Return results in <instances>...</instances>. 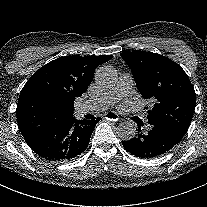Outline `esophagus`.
<instances>
[{
    "label": "esophagus",
    "mask_w": 207,
    "mask_h": 207,
    "mask_svg": "<svg viewBox=\"0 0 207 207\" xmlns=\"http://www.w3.org/2000/svg\"><path fill=\"white\" fill-rule=\"evenodd\" d=\"M104 117L109 121H117L119 119V115L116 112H107Z\"/></svg>",
    "instance_id": "1"
}]
</instances>
